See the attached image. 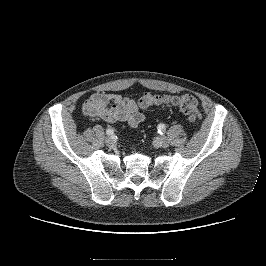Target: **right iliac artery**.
<instances>
[{"mask_svg": "<svg viewBox=\"0 0 266 266\" xmlns=\"http://www.w3.org/2000/svg\"><path fill=\"white\" fill-rule=\"evenodd\" d=\"M106 134H107L108 136H112V135L114 134V130H113V128H108V129L106 130Z\"/></svg>", "mask_w": 266, "mask_h": 266, "instance_id": "right-iliac-artery-1", "label": "right iliac artery"}]
</instances>
